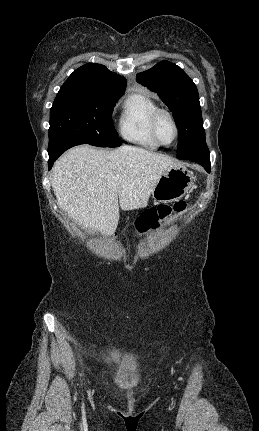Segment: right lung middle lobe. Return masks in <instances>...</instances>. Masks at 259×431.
Segmentation results:
<instances>
[{
  "mask_svg": "<svg viewBox=\"0 0 259 431\" xmlns=\"http://www.w3.org/2000/svg\"><path fill=\"white\" fill-rule=\"evenodd\" d=\"M122 93H58L50 110L48 149L64 143L120 146L121 141L115 131L111 114Z\"/></svg>",
  "mask_w": 259,
  "mask_h": 431,
  "instance_id": "dd1d6c3e",
  "label": "right lung middle lobe"
}]
</instances>
